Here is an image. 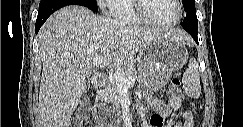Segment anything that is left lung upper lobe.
I'll return each mask as SVG.
<instances>
[{
    "label": "left lung upper lobe",
    "mask_w": 243,
    "mask_h": 127,
    "mask_svg": "<svg viewBox=\"0 0 243 127\" xmlns=\"http://www.w3.org/2000/svg\"><path fill=\"white\" fill-rule=\"evenodd\" d=\"M185 11L187 12L186 16H196L195 10V0H183Z\"/></svg>",
    "instance_id": "5c2ea615"
}]
</instances>
